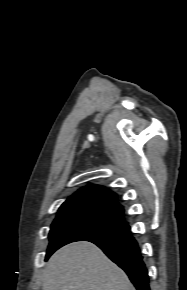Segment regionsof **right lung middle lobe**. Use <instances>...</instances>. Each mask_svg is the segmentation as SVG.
<instances>
[{
	"label": "right lung middle lobe",
	"instance_id": "right-lung-middle-lobe-1",
	"mask_svg": "<svg viewBox=\"0 0 187 290\" xmlns=\"http://www.w3.org/2000/svg\"><path fill=\"white\" fill-rule=\"evenodd\" d=\"M129 225L114 212L100 208H77L59 212L49 233L46 260L60 247L75 241H87L128 229Z\"/></svg>",
	"mask_w": 187,
	"mask_h": 290
}]
</instances>
